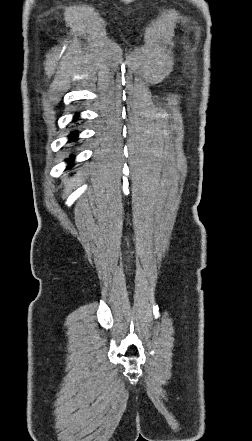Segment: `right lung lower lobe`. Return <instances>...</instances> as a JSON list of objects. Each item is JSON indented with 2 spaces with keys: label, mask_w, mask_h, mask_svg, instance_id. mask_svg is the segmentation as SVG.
<instances>
[{
  "label": "right lung lower lobe",
  "mask_w": 252,
  "mask_h": 441,
  "mask_svg": "<svg viewBox=\"0 0 252 441\" xmlns=\"http://www.w3.org/2000/svg\"><path fill=\"white\" fill-rule=\"evenodd\" d=\"M76 117H78V116H76ZM77 136H78V134H77L76 132H73V133L70 134L69 137H70L71 139L75 140V139L77 138ZM72 158H73V157H72Z\"/></svg>",
  "instance_id": "98d812e1"
}]
</instances>
